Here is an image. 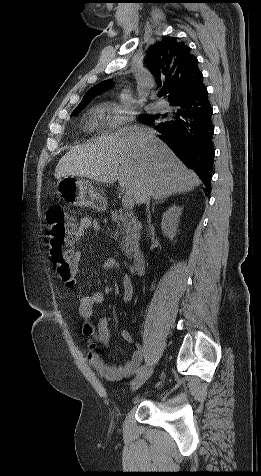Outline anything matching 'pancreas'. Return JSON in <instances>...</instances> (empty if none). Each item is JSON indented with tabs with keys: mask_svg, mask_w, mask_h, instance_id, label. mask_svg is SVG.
I'll return each mask as SVG.
<instances>
[{
	"mask_svg": "<svg viewBox=\"0 0 261 476\" xmlns=\"http://www.w3.org/2000/svg\"><path fill=\"white\" fill-rule=\"evenodd\" d=\"M111 219L117 223L121 234L120 247L126 256H130L138 246L140 239L141 223L130 213L111 211Z\"/></svg>",
	"mask_w": 261,
	"mask_h": 476,
	"instance_id": "1",
	"label": "pancreas"
}]
</instances>
